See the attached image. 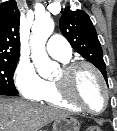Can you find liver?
I'll return each mask as SVG.
<instances>
[{
	"label": "liver",
	"instance_id": "obj_1",
	"mask_svg": "<svg viewBox=\"0 0 117 131\" xmlns=\"http://www.w3.org/2000/svg\"><path fill=\"white\" fill-rule=\"evenodd\" d=\"M63 116L57 108L0 97V131H38Z\"/></svg>",
	"mask_w": 117,
	"mask_h": 131
}]
</instances>
